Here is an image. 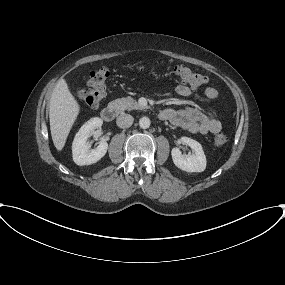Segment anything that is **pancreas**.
I'll return each mask as SVG.
<instances>
[{
  "mask_svg": "<svg viewBox=\"0 0 285 285\" xmlns=\"http://www.w3.org/2000/svg\"><path fill=\"white\" fill-rule=\"evenodd\" d=\"M111 104L118 110V111H124V110H142L144 107L140 106L139 103L134 100L133 98H119L115 101H112Z\"/></svg>",
  "mask_w": 285,
  "mask_h": 285,
  "instance_id": "1",
  "label": "pancreas"
}]
</instances>
